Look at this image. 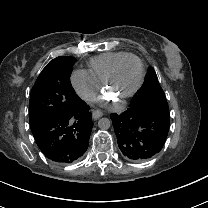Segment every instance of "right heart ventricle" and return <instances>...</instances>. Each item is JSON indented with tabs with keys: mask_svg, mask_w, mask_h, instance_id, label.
I'll return each instance as SVG.
<instances>
[{
	"mask_svg": "<svg viewBox=\"0 0 208 208\" xmlns=\"http://www.w3.org/2000/svg\"><path fill=\"white\" fill-rule=\"evenodd\" d=\"M126 52H107L91 58L88 62V73L92 79L102 85L113 64L126 55Z\"/></svg>",
	"mask_w": 208,
	"mask_h": 208,
	"instance_id": "right-heart-ventricle-1",
	"label": "right heart ventricle"
}]
</instances>
